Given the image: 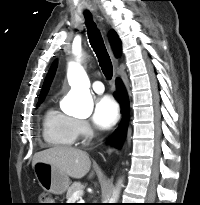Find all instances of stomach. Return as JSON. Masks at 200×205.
Listing matches in <instances>:
<instances>
[{
    "label": "stomach",
    "mask_w": 200,
    "mask_h": 205,
    "mask_svg": "<svg viewBox=\"0 0 200 205\" xmlns=\"http://www.w3.org/2000/svg\"><path fill=\"white\" fill-rule=\"evenodd\" d=\"M34 174L39 185L45 191L56 195L65 193L70 185L69 176L48 163H36L34 166Z\"/></svg>",
    "instance_id": "stomach-1"
}]
</instances>
